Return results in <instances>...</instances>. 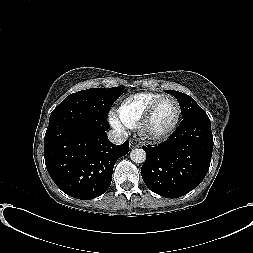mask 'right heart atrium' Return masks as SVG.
I'll list each match as a JSON object with an SVG mask.
<instances>
[{
  "mask_svg": "<svg viewBox=\"0 0 253 253\" xmlns=\"http://www.w3.org/2000/svg\"><path fill=\"white\" fill-rule=\"evenodd\" d=\"M110 122L111 124L116 127L117 129L121 130V131H124V128L123 126L119 123V121L117 120L116 116L111 114L110 117Z\"/></svg>",
  "mask_w": 253,
  "mask_h": 253,
  "instance_id": "d8ad5b80",
  "label": "right heart atrium"
}]
</instances>
